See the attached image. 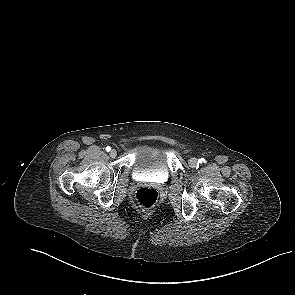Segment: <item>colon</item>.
Segmentation results:
<instances>
[{
  "label": "colon",
  "mask_w": 295,
  "mask_h": 295,
  "mask_svg": "<svg viewBox=\"0 0 295 295\" xmlns=\"http://www.w3.org/2000/svg\"><path fill=\"white\" fill-rule=\"evenodd\" d=\"M159 198L158 192L153 188H140L135 193V200L142 208L153 207Z\"/></svg>",
  "instance_id": "colon-1"
}]
</instances>
